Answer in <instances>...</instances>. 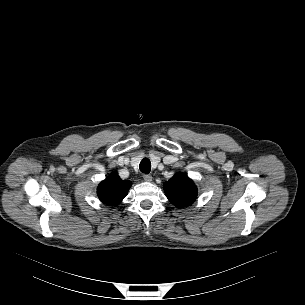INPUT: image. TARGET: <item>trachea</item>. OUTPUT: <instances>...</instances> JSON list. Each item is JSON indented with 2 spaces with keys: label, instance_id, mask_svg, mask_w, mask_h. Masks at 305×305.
Returning <instances> with one entry per match:
<instances>
[{
  "label": "trachea",
  "instance_id": "trachea-1",
  "mask_svg": "<svg viewBox=\"0 0 305 305\" xmlns=\"http://www.w3.org/2000/svg\"><path fill=\"white\" fill-rule=\"evenodd\" d=\"M139 168L142 173L148 174L151 170L150 160L147 158L142 159V161L140 162Z\"/></svg>",
  "mask_w": 305,
  "mask_h": 305
}]
</instances>
